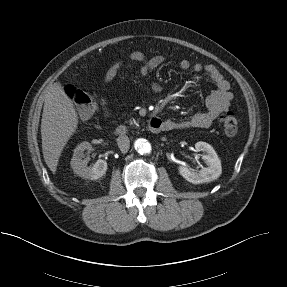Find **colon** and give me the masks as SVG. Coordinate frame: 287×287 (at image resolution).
<instances>
[{"instance_id":"5ec220e1","label":"colon","mask_w":287,"mask_h":287,"mask_svg":"<svg viewBox=\"0 0 287 287\" xmlns=\"http://www.w3.org/2000/svg\"><path fill=\"white\" fill-rule=\"evenodd\" d=\"M66 93L76 104L81 117L88 118L94 114L97 100L93 94L76 89L73 86L67 87ZM220 123L228 136H234L237 133L239 118L232 111L222 113Z\"/></svg>"}]
</instances>
